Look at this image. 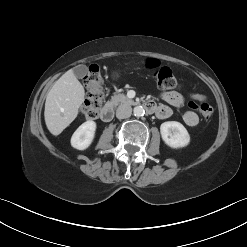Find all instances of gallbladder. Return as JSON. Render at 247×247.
Returning a JSON list of instances; mask_svg holds the SVG:
<instances>
[{
    "label": "gallbladder",
    "mask_w": 247,
    "mask_h": 247,
    "mask_svg": "<svg viewBox=\"0 0 247 247\" xmlns=\"http://www.w3.org/2000/svg\"><path fill=\"white\" fill-rule=\"evenodd\" d=\"M73 72L77 78H82L87 73V67L85 65H78L73 69Z\"/></svg>",
    "instance_id": "gallbladder-1"
}]
</instances>
